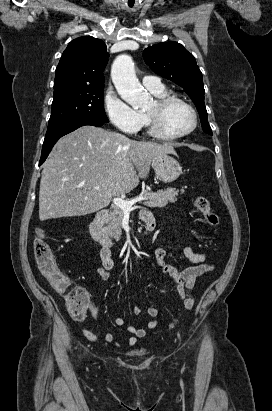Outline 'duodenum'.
Wrapping results in <instances>:
<instances>
[{
  "mask_svg": "<svg viewBox=\"0 0 272 411\" xmlns=\"http://www.w3.org/2000/svg\"><path fill=\"white\" fill-rule=\"evenodd\" d=\"M108 217V210L99 211L90 223V232L96 241L105 249H111L113 241L111 236L106 232L104 223ZM155 226V221L152 216H148L145 221L147 231H151Z\"/></svg>",
  "mask_w": 272,
  "mask_h": 411,
  "instance_id": "1",
  "label": "duodenum"
}]
</instances>
